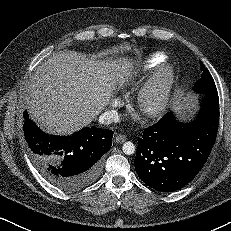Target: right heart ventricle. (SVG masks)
Masks as SVG:
<instances>
[{
	"label": "right heart ventricle",
	"mask_w": 231,
	"mask_h": 231,
	"mask_svg": "<svg viewBox=\"0 0 231 231\" xmlns=\"http://www.w3.org/2000/svg\"><path fill=\"white\" fill-rule=\"evenodd\" d=\"M166 55L162 52L153 53L146 60L148 67H155L156 65L164 62L166 60Z\"/></svg>",
	"instance_id": "1"
}]
</instances>
